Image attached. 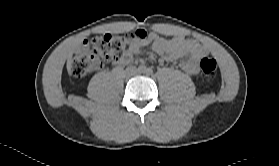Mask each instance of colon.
I'll use <instances>...</instances> for the list:
<instances>
[{"label": "colon", "instance_id": "colon-1", "mask_svg": "<svg viewBox=\"0 0 279 166\" xmlns=\"http://www.w3.org/2000/svg\"><path fill=\"white\" fill-rule=\"evenodd\" d=\"M145 37L146 32L143 30L92 37L84 41L75 51L70 62V72L74 77L81 78L99 69L105 61H120L133 43ZM200 68L205 76L213 77L217 73V62L213 58L204 57L200 61Z\"/></svg>", "mask_w": 279, "mask_h": 166}]
</instances>
